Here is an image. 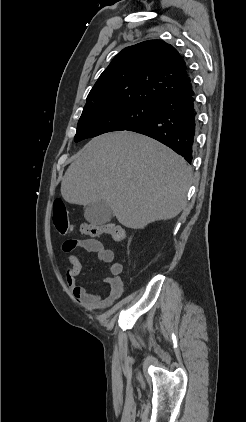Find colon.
Here are the masks:
<instances>
[{
    "label": "colon",
    "mask_w": 246,
    "mask_h": 422,
    "mask_svg": "<svg viewBox=\"0 0 246 422\" xmlns=\"http://www.w3.org/2000/svg\"><path fill=\"white\" fill-rule=\"evenodd\" d=\"M53 223L61 234L71 232L75 226L72 224L67 208L62 200H55L53 204ZM78 230L87 236L96 237L109 235L114 241L121 242L125 239V230L115 223L108 224H80Z\"/></svg>",
    "instance_id": "1"
}]
</instances>
